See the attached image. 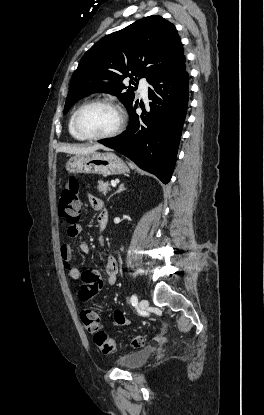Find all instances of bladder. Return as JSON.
I'll use <instances>...</instances> for the list:
<instances>
[{
    "mask_svg": "<svg viewBox=\"0 0 264 415\" xmlns=\"http://www.w3.org/2000/svg\"><path fill=\"white\" fill-rule=\"evenodd\" d=\"M154 352L153 346H145L139 350L128 353L116 360V364L127 370H135L143 366Z\"/></svg>",
    "mask_w": 264,
    "mask_h": 415,
    "instance_id": "31cf9c89",
    "label": "bladder"
}]
</instances>
